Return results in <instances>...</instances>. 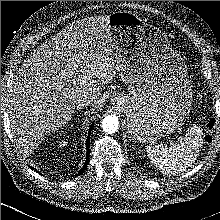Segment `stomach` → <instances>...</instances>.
<instances>
[{
  "label": "stomach",
  "instance_id": "1",
  "mask_svg": "<svg viewBox=\"0 0 220 220\" xmlns=\"http://www.w3.org/2000/svg\"><path fill=\"white\" fill-rule=\"evenodd\" d=\"M108 26L128 93L112 101L127 117L134 140L151 143L179 129L190 113L192 87L182 57L167 35L129 11L113 12Z\"/></svg>",
  "mask_w": 220,
  "mask_h": 220
}]
</instances>
